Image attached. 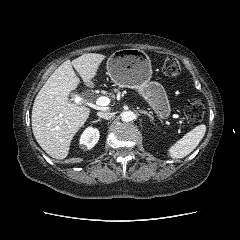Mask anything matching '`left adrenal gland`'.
Returning <instances> with one entry per match:
<instances>
[{"mask_svg": "<svg viewBox=\"0 0 240 240\" xmlns=\"http://www.w3.org/2000/svg\"><path fill=\"white\" fill-rule=\"evenodd\" d=\"M140 113L147 115V116L150 118V120L153 121V116H152L150 113H148L147 111H145V110H140Z\"/></svg>", "mask_w": 240, "mask_h": 240, "instance_id": "a2214340", "label": "left adrenal gland"}]
</instances>
